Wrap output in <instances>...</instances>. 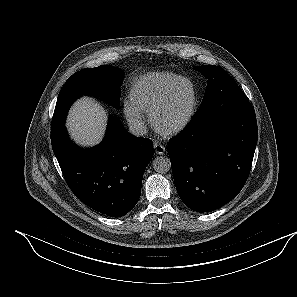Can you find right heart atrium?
Instances as JSON below:
<instances>
[{"label":"right heart atrium","mask_w":297,"mask_h":297,"mask_svg":"<svg viewBox=\"0 0 297 297\" xmlns=\"http://www.w3.org/2000/svg\"><path fill=\"white\" fill-rule=\"evenodd\" d=\"M123 112L130 125L137 131H143L146 127L143 112L137 108L130 100L123 103Z\"/></svg>","instance_id":"right-heart-atrium-1"}]
</instances>
